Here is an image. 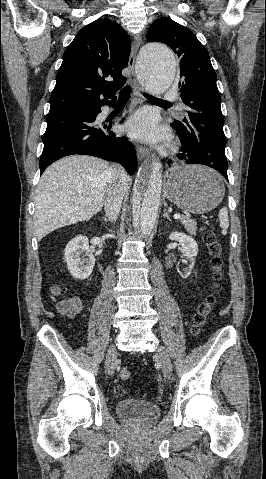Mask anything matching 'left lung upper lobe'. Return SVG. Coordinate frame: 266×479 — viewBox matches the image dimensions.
<instances>
[{"instance_id": "1", "label": "left lung upper lobe", "mask_w": 266, "mask_h": 479, "mask_svg": "<svg viewBox=\"0 0 266 479\" xmlns=\"http://www.w3.org/2000/svg\"><path fill=\"white\" fill-rule=\"evenodd\" d=\"M147 40L167 44L179 58L181 98L191 111L181 121L174 119L172 126L188 152L203 164L227 162L221 96L207 49L189 29L164 17L150 26Z\"/></svg>"}]
</instances>
